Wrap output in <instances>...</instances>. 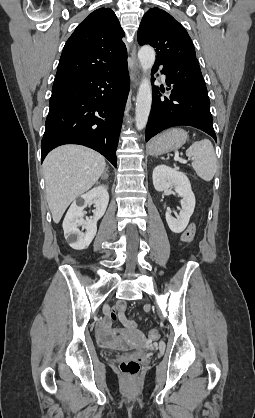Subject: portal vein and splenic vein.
<instances>
[{"instance_id": "18ae733b", "label": "portal vein and splenic vein", "mask_w": 255, "mask_h": 418, "mask_svg": "<svg viewBox=\"0 0 255 418\" xmlns=\"http://www.w3.org/2000/svg\"><path fill=\"white\" fill-rule=\"evenodd\" d=\"M174 160L175 161H180V162H185L183 159H181L178 155H176L175 157H174Z\"/></svg>"}]
</instances>
